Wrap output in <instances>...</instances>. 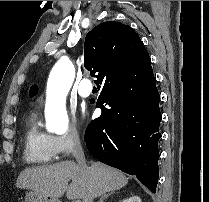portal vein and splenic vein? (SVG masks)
<instances>
[{"label":"portal vein and splenic vein","instance_id":"obj_1","mask_svg":"<svg viewBox=\"0 0 209 202\" xmlns=\"http://www.w3.org/2000/svg\"><path fill=\"white\" fill-rule=\"evenodd\" d=\"M76 202H81L80 200H77Z\"/></svg>","mask_w":209,"mask_h":202}]
</instances>
